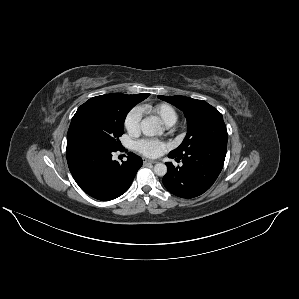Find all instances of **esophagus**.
<instances>
[{"label":"esophagus","instance_id":"obj_1","mask_svg":"<svg viewBox=\"0 0 299 299\" xmlns=\"http://www.w3.org/2000/svg\"><path fill=\"white\" fill-rule=\"evenodd\" d=\"M143 163H144V164H155V163H157V161L144 159V160H143Z\"/></svg>","mask_w":299,"mask_h":299}]
</instances>
